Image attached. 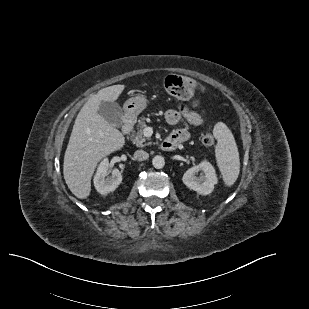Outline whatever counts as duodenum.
<instances>
[{"label": "duodenum", "instance_id": "obj_1", "mask_svg": "<svg viewBox=\"0 0 309 309\" xmlns=\"http://www.w3.org/2000/svg\"><path fill=\"white\" fill-rule=\"evenodd\" d=\"M134 122H135V118L133 115L126 114L124 116L123 125H122V133L124 135H127L132 131ZM178 144H179V141L177 139L168 137L161 143V148L164 151H172L177 147Z\"/></svg>", "mask_w": 309, "mask_h": 309}]
</instances>
